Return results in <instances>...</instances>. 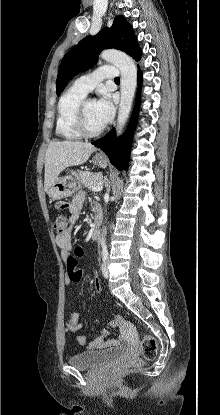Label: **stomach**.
<instances>
[{"label": "stomach", "mask_w": 220, "mask_h": 415, "mask_svg": "<svg viewBox=\"0 0 220 415\" xmlns=\"http://www.w3.org/2000/svg\"><path fill=\"white\" fill-rule=\"evenodd\" d=\"M92 162L101 168H104L107 165L106 159L99 154L92 158ZM78 184L76 176L66 175L56 179V181L50 186L48 194L53 200H60L74 194L78 189Z\"/></svg>", "instance_id": "obj_1"}]
</instances>
